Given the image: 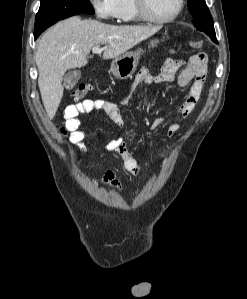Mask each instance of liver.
I'll return each mask as SVG.
<instances>
[{"instance_id":"obj_1","label":"liver","mask_w":247,"mask_h":299,"mask_svg":"<svg viewBox=\"0 0 247 299\" xmlns=\"http://www.w3.org/2000/svg\"><path fill=\"white\" fill-rule=\"evenodd\" d=\"M160 29L161 26L109 25L74 16L47 30L37 46L35 61L41 98L49 119L54 118L61 102L65 72L87 65V55L93 47L105 45L104 60L117 58Z\"/></svg>"}]
</instances>
